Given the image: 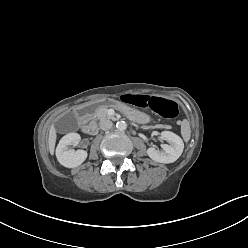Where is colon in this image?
<instances>
[{"label":"colon","mask_w":248,"mask_h":248,"mask_svg":"<svg viewBox=\"0 0 248 248\" xmlns=\"http://www.w3.org/2000/svg\"><path fill=\"white\" fill-rule=\"evenodd\" d=\"M121 100L131 104L133 103L140 107H148L155 113L165 118H174L178 113L177 103L162 97L122 94Z\"/></svg>","instance_id":"5ec220e1"}]
</instances>
